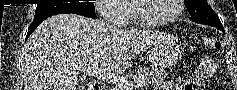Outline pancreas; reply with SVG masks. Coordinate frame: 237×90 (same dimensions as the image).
Segmentation results:
<instances>
[{
	"label": "pancreas",
	"instance_id": "1",
	"mask_svg": "<svg viewBox=\"0 0 237 90\" xmlns=\"http://www.w3.org/2000/svg\"><path fill=\"white\" fill-rule=\"evenodd\" d=\"M166 74L167 72H165V70H154V68H136V70H133V72L128 74V76H125V78L130 80L132 76H136L139 80H143L145 86H148V84H152V82H160Z\"/></svg>",
	"mask_w": 237,
	"mask_h": 90
}]
</instances>
